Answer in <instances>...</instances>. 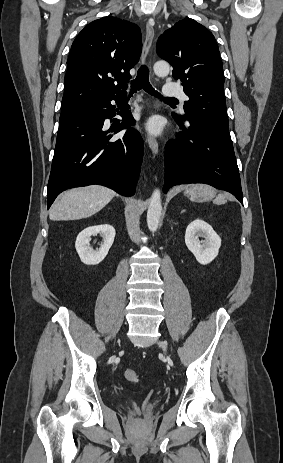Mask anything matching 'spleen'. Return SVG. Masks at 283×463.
I'll use <instances>...</instances> for the list:
<instances>
[{"label": "spleen", "instance_id": "obj_1", "mask_svg": "<svg viewBox=\"0 0 283 463\" xmlns=\"http://www.w3.org/2000/svg\"><path fill=\"white\" fill-rule=\"evenodd\" d=\"M207 186H208V185H207ZM215 194H216V192H215V190L213 189V191L210 193V198H209V199L214 198ZM209 199H208V200H209ZM216 200H217L218 202H225V201H226V198H225V196H224L223 194H219L218 197L216 198Z\"/></svg>", "mask_w": 283, "mask_h": 463}]
</instances>
